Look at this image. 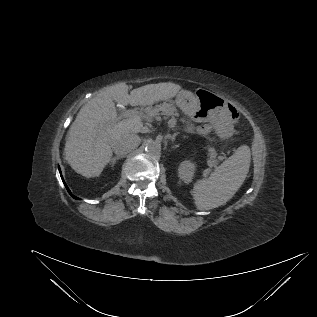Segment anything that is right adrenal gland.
Wrapping results in <instances>:
<instances>
[{
	"mask_svg": "<svg viewBox=\"0 0 317 317\" xmlns=\"http://www.w3.org/2000/svg\"><path fill=\"white\" fill-rule=\"evenodd\" d=\"M124 158V156H115V157H111L110 159V165L111 167H113L116 163L117 160Z\"/></svg>",
	"mask_w": 317,
	"mask_h": 317,
	"instance_id": "1",
	"label": "right adrenal gland"
}]
</instances>
